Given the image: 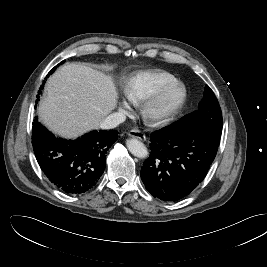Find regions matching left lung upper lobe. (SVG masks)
<instances>
[{
	"instance_id": "obj_1",
	"label": "left lung upper lobe",
	"mask_w": 267,
	"mask_h": 267,
	"mask_svg": "<svg viewBox=\"0 0 267 267\" xmlns=\"http://www.w3.org/2000/svg\"><path fill=\"white\" fill-rule=\"evenodd\" d=\"M180 120L203 124L216 136H221L222 113L217 98L209 86L205 87L204 97L198 105V110Z\"/></svg>"
}]
</instances>
